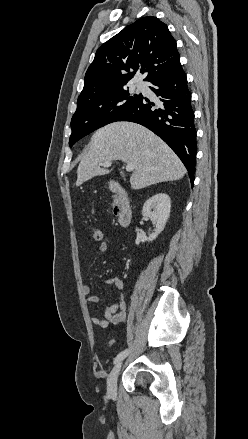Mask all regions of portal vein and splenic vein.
<instances>
[{
    "instance_id": "obj_1",
    "label": "portal vein and splenic vein",
    "mask_w": 248,
    "mask_h": 439,
    "mask_svg": "<svg viewBox=\"0 0 248 439\" xmlns=\"http://www.w3.org/2000/svg\"><path fill=\"white\" fill-rule=\"evenodd\" d=\"M100 165L104 166V167H109L111 166V161H106L104 163H101ZM134 170V165L132 163H128L126 165V171L131 172Z\"/></svg>"
}]
</instances>
